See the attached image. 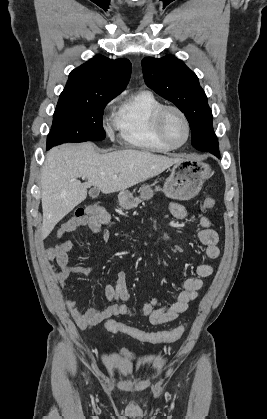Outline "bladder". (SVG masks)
<instances>
[{"mask_svg": "<svg viewBox=\"0 0 267 419\" xmlns=\"http://www.w3.org/2000/svg\"><path fill=\"white\" fill-rule=\"evenodd\" d=\"M137 358L136 354L127 348H121L117 352L116 362L119 361H135Z\"/></svg>", "mask_w": 267, "mask_h": 419, "instance_id": "31cf9c89", "label": "bladder"}]
</instances>
